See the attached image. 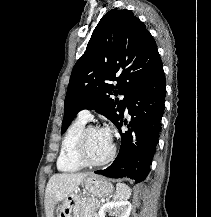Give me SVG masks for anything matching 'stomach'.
Listing matches in <instances>:
<instances>
[{
	"label": "stomach",
	"instance_id": "0dacf381",
	"mask_svg": "<svg viewBox=\"0 0 211 217\" xmlns=\"http://www.w3.org/2000/svg\"><path fill=\"white\" fill-rule=\"evenodd\" d=\"M84 191L92 197H106L113 193V185L105 178L90 174L82 181ZM81 197L76 190L59 206L57 217H81Z\"/></svg>",
	"mask_w": 211,
	"mask_h": 217
}]
</instances>
